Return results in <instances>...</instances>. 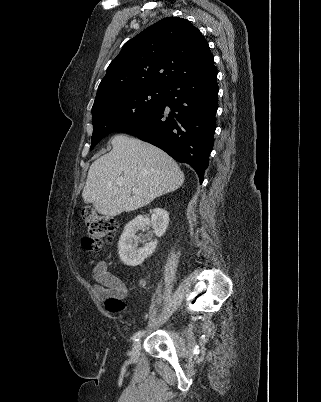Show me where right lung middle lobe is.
Here are the masks:
<instances>
[{"label": "right lung middle lobe", "instance_id": "obj_1", "mask_svg": "<svg viewBox=\"0 0 321 402\" xmlns=\"http://www.w3.org/2000/svg\"><path fill=\"white\" fill-rule=\"evenodd\" d=\"M165 88H145L113 95L92 107V150L106 135L133 123L153 111L163 102Z\"/></svg>", "mask_w": 321, "mask_h": 402}]
</instances>
